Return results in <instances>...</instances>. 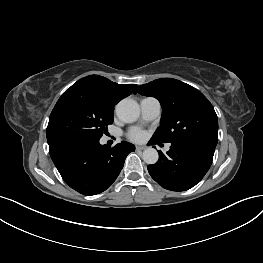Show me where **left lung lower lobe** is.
Segmentation results:
<instances>
[{
	"mask_svg": "<svg viewBox=\"0 0 263 263\" xmlns=\"http://www.w3.org/2000/svg\"><path fill=\"white\" fill-rule=\"evenodd\" d=\"M161 142L150 140V144ZM215 146L198 142H171L170 150L164 155L159 152V160L149 165L151 177L163 188L184 191L192 188L209 170Z\"/></svg>",
	"mask_w": 263,
	"mask_h": 263,
	"instance_id": "0a47b994",
	"label": "left lung lower lobe"
}]
</instances>
